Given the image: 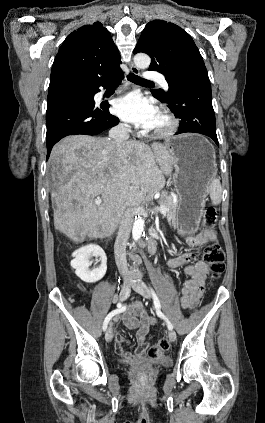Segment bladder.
<instances>
[{
    "label": "bladder",
    "instance_id": "1",
    "mask_svg": "<svg viewBox=\"0 0 265 423\" xmlns=\"http://www.w3.org/2000/svg\"><path fill=\"white\" fill-rule=\"evenodd\" d=\"M123 364L126 363L124 360L121 361Z\"/></svg>",
    "mask_w": 265,
    "mask_h": 423
}]
</instances>
